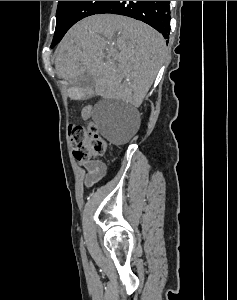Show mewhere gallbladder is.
Listing matches in <instances>:
<instances>
[{
  "label": "gallbladder",
  "instance_id": "obj_1",
  "mask_svg": "<svg viewBox=\"0 0 237 300\" xmlns=\"http://www.w3.org/2000/svg\"><path fill=\"white\" fill-rule=\"evenodd\" d=\"M71 100L72 101H85L86 97H89L90 90L87 87H78L77 90H70Z\"/></svg>",
  "mask_w": 237,
  "mask_h": 300
}]
</instances>
